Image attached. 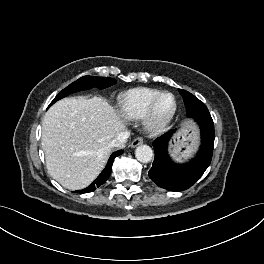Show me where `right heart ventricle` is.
I'll list each match as a JSON object with an SVG mask.
<instances>
[{
	"label": "right heart ventricle",
	"instance_id": "obj_1",
	"mask_svg": "<svg viewBox=\"0 0 264 264\" xmlns=\"http://www.w3.org/2000/svg\"><path fill=\"white\" fill-rule=\"evenodd\" d=\"M162 92L153 88H135L122 93L118 98V109L127 120H139L145 116L153 100Z\"/></svg>",
	"mask_w": 264,
	"mask_h": 264
}]
</instances>
